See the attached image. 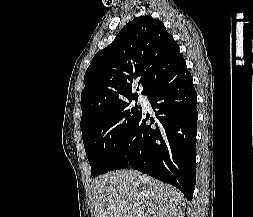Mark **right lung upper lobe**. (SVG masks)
<instances>
[{
	"instance_id": "1",
	"label": "right lung upper lobe",
	"mask_w": 253,
	"mask_h": 217,
	"mask_svg": "<svg viewBox=\"0 0 253 217\" xmlns=\"http://www.w3.org/2000/svg\"><path fill=\"white\" fill-rule=\"evenodd\" d=\"M183 60L161 21L150 16L133 19L94 56L85 72L81 124L107 108L138 97L132 94L133 80L139 79L145 95Z\"/></svg>"
}]
</instances>
